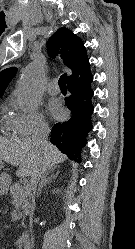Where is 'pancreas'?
Segmentation results:
<instances>
[{"label":"pancreas","mask_w":135,"mask_h":249,"mask_svg":"<svg viewBox=\"0 0 135 249\" xmlns=\"http://www.w3.org/2000/svg\"><path fill=\"white\" fill-rule=\"evenodd\" d=\"M10 195L13 199V204L16 208H23L24 212H27V209L29 207L28 197L29 192H26L24 188L18 183H14L10 187Z\"/></svg>","instance_id":"obj_1"}]
</instances>
